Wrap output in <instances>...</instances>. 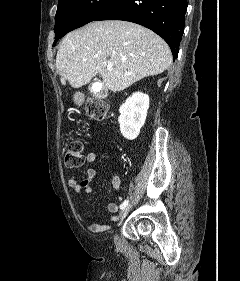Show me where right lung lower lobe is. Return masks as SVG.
I'll list each match as a JSON object with an SVG mask.
<instances>
[{
	"label": "right lung lower lobe",
	"instance_id": "98d812e1",
	"mask_svg": "<svg viewBox=\"0 0 240 281\" xmlns=\"http://www.w3.org/2000/svg\"><path fill=\"white\" fill-rule=\"evenodd\" d=\"M187 5V0H117L94 21L125 20L145 26L168 43L176 59Z\"/></svg>",
	"mask_w": 240,
	"mask_h": 281
}]
</instances>
